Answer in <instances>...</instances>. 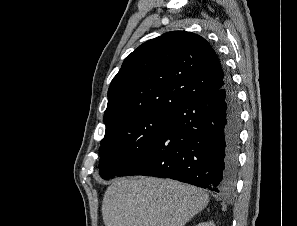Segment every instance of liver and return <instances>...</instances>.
Here are the masks:
<instances>
[{
    "label": "liver",
    "instance_id": "6515ba94",
    "mask_svg": "<svg viewBox=\"0 0 297 226\" xmlns=\"http://www.w3.org/2000/svg\"><path fill=\"white\" fill-rule=\"evenodd\" d=\"M209 202L197 187L154 177L118 178L107 188L105 226H184Z\"/></svg>",
    "mask_w": 297,
    "mask_h": 226
}]
</instances>
